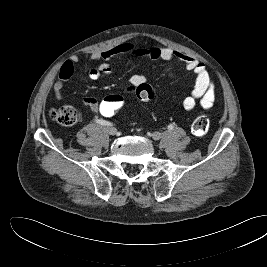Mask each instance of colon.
<instances>
[{"mask_svg": "<svg viewBox=\"0 0 267 267\" xmlns=\"http://www.w3.org/2000/svg\"><path fill=\"white\" fill-rule=\"evenodd\" d=\"M136 96L140 101L150 102L155 97L153 88L148 84H140L135 89ZM127 107V98L121 92H116L103 97L98 106V112L106 117L112 118L122 112ZM52 120L63 126L74 125L78 120L77 111L71 106H62L54 108L49 113ZM210 126V120L207 115H199L192 123V132L196 136H202L207 133Z\"/></svg>", "mask_w": 267, "mask_h": 267, "instance_id": "obj_1", "label": "colon"}]
</instances>
